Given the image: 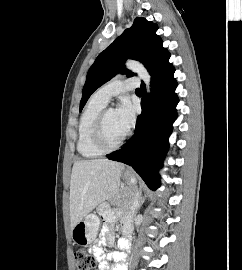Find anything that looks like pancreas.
Segmentation results:
<instances>
[{"instance_id": "1", "label": "pancreas", "mask_w": 242, "mask_h": 270, "mask_svg": "<svg viewBox=\"0 0 242 270\" xmlns=\"http://www.w3.org/2000/svg\"><path fill=\"white\" fill-rule=\"evenodd\" d=\"M135 199L136 193L132 192L131 189L126 188L114 199V203H116L122 210H129L134 204Z\"/></svg>"}]
</instances>
